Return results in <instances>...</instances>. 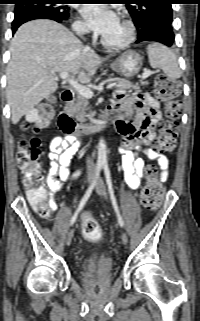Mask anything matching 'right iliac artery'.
Masks as SVG:
<instances>
[{"label": "right iliac artery", "instance_id": "obj_1", "mask_svg": "<svg viewBox=\"0 0 200 321\" xmlns=\"http://www.w3.org/2000/svg\"><path fill=\"white\" fill-rule=\"evenodd\" d=\"M102 165L103 164H101V163L97 164L95 178L93 179V182L91 183L90 187L88 188V190L86 191L85 195L81 199L77 211L72 216V218L70 220V226H72L75 223L78 213L82 210V208L85 206L87 200L89 199V197H90V195H91V193H92V191H93V189H94V187H95V185L97 183V180H98V178L100 176Z\"/></svg>", "mask_w": 200, "mask_h": 321}]
</instances>
